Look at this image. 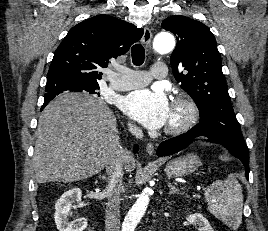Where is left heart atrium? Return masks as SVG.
Wrapping results in <instances>:
<instances>
[{
  "label": "left heart atrium",
  "instance_id": "1",
  "mask_svg": "<svg viewBox=\"0 0 268 231\" xmlns=\"http://www.w3.org/2000/svg\"><path fill=\"white\" fill-rule=\"evenodd\" d=\"M124 112L147 128L158 129L170 114L168 98L161 89H141L129 93L122 102Z\"/></svg>",
  "mask_w": 268,
  "mask_h": 231
}]
</instances>
